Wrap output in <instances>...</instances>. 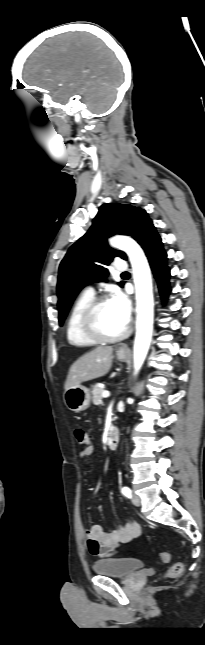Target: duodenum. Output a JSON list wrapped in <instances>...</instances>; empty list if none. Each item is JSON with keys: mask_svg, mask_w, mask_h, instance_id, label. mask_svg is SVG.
Wrapping results in <instances>:
<instances>
[{"mask_svg": "<svg viewBox=\"0 0 205 645\" xmlns=\"http://www.w3.org/2000/svg\"><path fill=\"white\" fill-rule=\"evenodd\" d=\"M119 442V432L116 429H113L108 436L107 446L110 450H113L117 447Z\"/></svg>", "mask_w": 205, "mask_h": 645, "instance_id": "obj_1", "label": "duodenum"}]
</instances>
